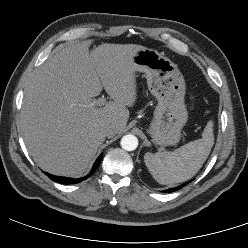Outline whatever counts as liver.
<instances>
[{"label": "liver", "instance_id": "liver-1", "mask_svg": "<svg viewBox=\"0 0 248 248\" xmlns=\"http://www.w3.org/2000/svg\"><path fill=\"white\" fill-rule=\"evenodd\" d=\"M146 47L103 43L89 51L83 42L58 47L33 73L20 117L29 154L44 171L81 177L105 141L104 127L121 133L137 96L135 54ZM113 101L90 105L102 89Z\"/></svg>", "mask_w": 248, "mask_h": 248}]
</instances>
